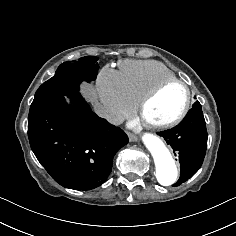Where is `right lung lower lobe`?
I'll list each match as a JSON object with an SVG mask.
<instances>
[{"label":"right lung lower lobe","mask_w":236,"mask_h":236,"mask_svg":"<svg viewBox=\"0 0 236 236\" xmlns=\"http://www.w3.org/2000/svg\"><path fill=\"white\" fill-rule=\"evenodd\" d=\"M30 107L28 137L40 164L60 185L89 190L111 172L113 157L128 143L119 127L91 111L79 92Z\"/></svg>","instance_id":"1"}]
</instances>
